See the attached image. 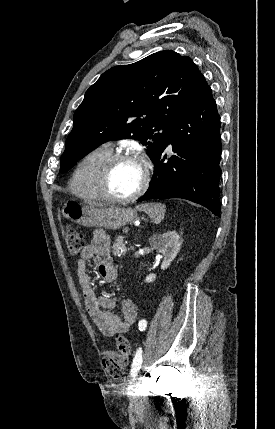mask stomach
Masks as SVG:
<instances>
[{
    "instance_id": "stomach-1",
    "label": "stomach",
    "mask_w": 275,
    "mask_h": 429,
    "mask_svg": "<svg viewBox=\"0 0 275 429\" xmlns=\"http://www.w3.org/2000/svg\"><path fill=\"white\" fill-rule=\"evenodd\" d=\"M64 218L83 225L100 226L105 229L116 230L137 219V213L130 208L109 207L96 208L74 200L67 201L61 210Z\"/></svg>"
}]
</instances>
